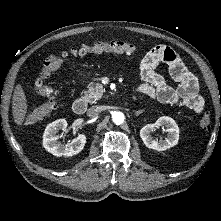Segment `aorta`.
<instances>
[{"label":"aorta","mask_w":221,"mask_h":221,"mask_svg":"<svg viewBox=\"0 0 221 221\" xmlns=\"http://www.w3.org/2000/svg\"><path fill=\"white\" fill-rule=\"evenodd\" d=\"M125 116L122 112H114L112 114V120L116 125H120L124 122Z\"/></svg>","instance_id":"762f6f07"}]
</instances>
